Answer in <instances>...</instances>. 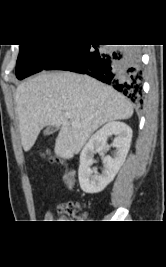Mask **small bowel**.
<instances>
[{"label": "small bowel", "mask_w": 166, "mask_h": 267, "mask_svg": "<svg viewBox=\"0 0 166 267\" xmlns=\"http://www.w3.org/2000/svg\"><path fill=\"white\" fill-rule=\"evenodd\" d=\"M67 186L73 187L74 181L70 182ZM53 220H54V215L52 214L51 211H47L44 215V222H53Z\"/></svg>", "instance_id": "c3829d8e"}]
</instances>
